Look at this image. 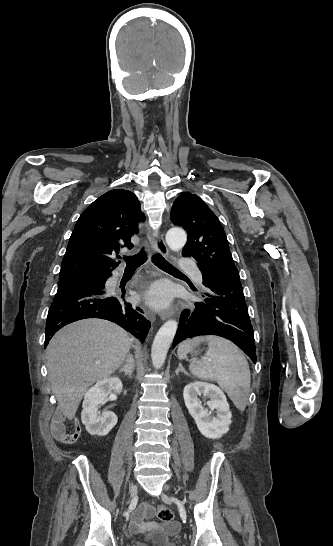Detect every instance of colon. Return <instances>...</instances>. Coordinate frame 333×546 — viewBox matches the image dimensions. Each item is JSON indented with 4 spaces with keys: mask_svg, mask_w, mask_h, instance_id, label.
Returning <instances> with one entry per match:
<instances>
[{
    "mask_svg": "<svg viewBox=\"0 0 333 546\" xmlns=\"http://www.w3.org/2000/svg\"><path fill=\"white\" fill-rule=\"evenodd\" d=\"M158 518L166 523H172L174 520L173 512L165 505H158L156 508Z\"/></svg>",
    "mask_w": 333,
    "mask_h": 546,
    "instance_id": "colon-1",
    "label": "colon"
}]
</instances>
